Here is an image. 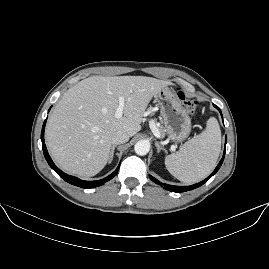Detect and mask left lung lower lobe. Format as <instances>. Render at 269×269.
<instances>
[{"instance_id": "0a47b994", "label": "left lung lower lobe", "mask_w": 269, "mask_h": 269, "mask_svg": "<svg viewBox=\"0 0 269 269\" xmlns=\"http://www.w3.org/2000/svg\"><path fill=\"white\" fill-rule=\"evenodd\" d=\"M214 107H216L219 110V112L221 113V110L216 105H214ZM221 116H222V113H221ZM226 143H227V137H225V147H226ZM224 156H225V150H224L223 157L220 160L219 164L217 165V167L215 168L213 173L209 177H207L205 180H203V181H201V182H199L197 184L191 185V186H173V185L164 184V188L169 190V191H172V192L181 193V192H185V191L195 189V188L203 185L209 178H211L219 170L220 166L223 163ZM150 179L153 182H155L156 184H160V182L157 179H155L154 177H152L151 175H150Z\"/></svg>"}]
</instances>
